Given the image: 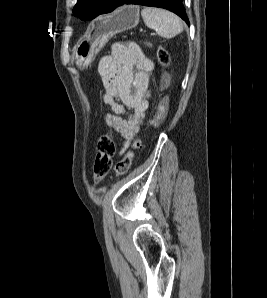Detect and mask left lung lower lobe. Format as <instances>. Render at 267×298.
Segmentation results:
<instances>
[{"mask_svg":"<svg viewBox=\"0 0 267 298\" xmlns=\"http://www.w3.org/2000/svg\"><path fill=\"white\" fill-rule=\"evenodd\" d=\"M123 4H139L144 6H153L168 9L180 16L184 21L187 22V24H189L185 14V9L182 5V0H116L111 11L119 6H122Z\"/></svg>","mask_w":267,"mask_h":298,"instance_id":"1","label":"left lung lower lobe"}]
</instances>
